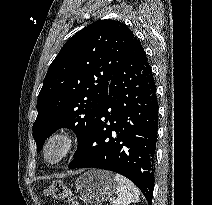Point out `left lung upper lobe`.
<instances>
[{
  "mask_svg": "<svg viewBox=\"0 0 212 205\" xmlns=\"http://www.w3.org/2000/svg\"><path fill=\"white\" fill-rule=\"evenodd\" d=\"M134 35L114 20H100L80 30L49 66L38 96L33 124L37 152L59 128L78 137L74 156L83 147L94 118L108 96L110 79Z\"/></svg>",
  "mask_w": 212,
  "mask_h": 205,
  "instance_id": "obj_1",
  "label": "left lung upper lobe"
}]
</instances>
